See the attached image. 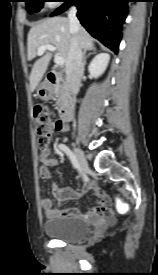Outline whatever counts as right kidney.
Wrapping results in <instances>:
<instances>
[{"label":"right kidney","mask_w":158,"mask_h":275,"mask_svg":"<svg viewBox=\"0 0 158 275\" xmlns=\"http://www.w3.org/2000/svg\"><path fill=\"white\" fill-rule=\"evenodd\" d=\"M110 60V55L107 53H100L94 57L88 66L91 77L98 78L106 70Z\"/></svg>","instance_id":"right-kidney-1"}]
</instances>
